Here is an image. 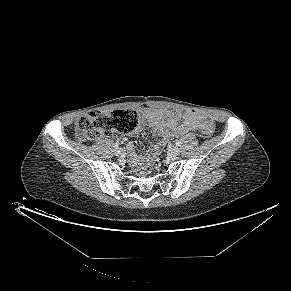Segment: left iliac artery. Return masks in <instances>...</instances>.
Segmentation results:
<instances>
[{"mask_svg":"<svg viewBox=\"0 0 291 291\" xmlns=\"http://www.w3.org/2000/svg\"><path fill=\"white\" fill-rule=\"evenodd\" d=\"M176 146H181V142L180 141H177L176 142Z\"/></svg>","mask_w":291,"mask_h":291,"instance_id":"1","label":"left iliac artery"}]
</instances>
